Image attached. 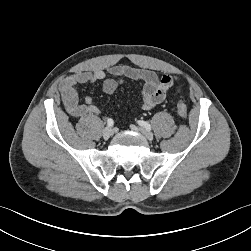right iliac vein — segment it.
<instances>
[{"instance_id": "right-iliac-vein-1", "label": "right iliac vein", "mask_w": 251, "mask_h": 251, "mask_svg": "<svg viewBox=\"0 0 251 251\" xmlns=\"http://www.w3.org/2000/svg\"><path fill=\"white\" fill-rule=\"evenodd\" d=\"M113 133H114L113 129L108 126L103 130V138L107 140L113 135Z\"/></svg>"}]
</instances>
